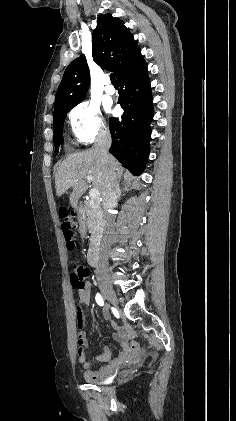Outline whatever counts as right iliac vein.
Returning a JSON list of instances; mask_svg holds the SVG:
<instances>
[{
  "label": "right iliac vein",
  "mask_w": 236,
  "mask_h": 421,
  "mask_svg": "<svg viewBox=\"0 0 236 421\" xmlns=\"http://www.w3.org/2000/svg\"><path fill=\"white\" fill-rule=\"evenodd\" d=\"M102 295L104 298L109 301L111 304L116 305L117 304V296L115 291L109 287V283L107 280H100L99 283Z\"/></svg>",
  "instance_id": "obj_1"
}]
</instances>
